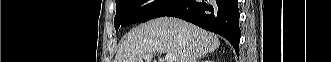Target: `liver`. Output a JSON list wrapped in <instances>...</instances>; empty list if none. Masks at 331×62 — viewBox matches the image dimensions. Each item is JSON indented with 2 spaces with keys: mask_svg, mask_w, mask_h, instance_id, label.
I'll list each match as a JSON object with an SVG mask.
<instances>
[{
  "mask_svg": "<svg viewBox=\"0 0 331 62\" xmlns=\"http://www.w3.org/2000/svg\"><path fill=\"white\" fill-rule=\"evenodd\" d=\"M219 46L215 34L177 18L161 17L133 28L114 62H143L148 54L162 52L174 55L175 62H196Z\"/></svg>",
  "mask_w": 331,
  "mask_h": 62,
  "instance_id": "liver-1",
  "label": "liver"
}]
</instances>
